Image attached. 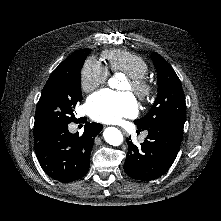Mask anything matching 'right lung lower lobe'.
Masks as SVG:
<instances>
[{"instance_id":"98d812e1","label":"right lung lower lobe","mask_w":221,"mask_h":221,"mask_svg":"<svg viewBox=\"0 0 221 221\" xmlns=\"http://www.w3.org/2000/svg\"><path fill=\"white\" fill-rule=\"evenodd\" d=\"M103 126L87 122L84 133L72 134L67 125L55 126L34 136L35 152L42 169L51 178L71 182L83 177L90 167L94 138Z\"/></svg>"}]
</instances>
